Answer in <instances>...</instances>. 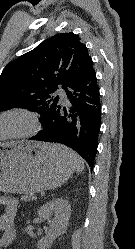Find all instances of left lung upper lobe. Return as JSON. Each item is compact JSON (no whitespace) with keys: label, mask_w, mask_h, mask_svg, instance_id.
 Returning a JSON list of instances; mask_svg holds the SVG:
<instances>
[{"label":"left lung upper lobe","mask_w":135,"mask_h":249,"mask_svg":"<svg viewBox=\"0 0 135 249\" xmlns=\"http://www.w3.org/2000/svg\"><path fill=\"white\" fill-rule=\"evenodd\" d=\"M86 45L72 32L56 34L14 61L0 76V112L24 107L41 114L56 106L55 92L81 78L92 66Z\"/></svg>","instance_id":"5c2ea615"}]
</instances>
